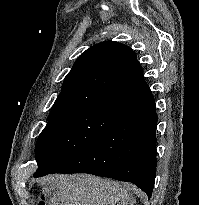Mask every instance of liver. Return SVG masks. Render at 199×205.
Returning a JSON list of instances; mask_svg holds the SVG:
<instances>
[{
    "instance_id": "6515ba94",
    "label": "liver",
    "mask_w": 199,
    "mask_h": 205,
    "mask_svg": "<svg viewBox=\"0 0 199 205\" xmlns=\"http://www.w3.org/2000/svg\"><path fill=\"white\" fill-rule=\"evenodd\" d=\"M56 189L58 205H129L127 186L90 175H57L48 179Z\"/></svg>"
}]
</instances>
